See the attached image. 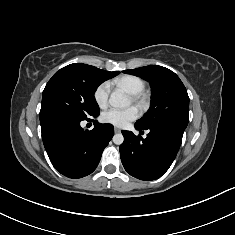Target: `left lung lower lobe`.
Wrapping results in <instances>:
<instances>
[{"label":"left lung lower lobe","instance_id":"obj_1","mask_svg":"<svg viewBox=\"0 0 235 235\" xmlns=\"http://www.w3.org/2000/svg\"><path fill=\"white\" fill-rule=\"evenodd\" d=\"M135 128L149 130L143 139L130 131H122L124 142L120 146V156L125 170L140 180H155L171 166L180 148L184 128L171 124H161L148 128L135 124Z\"/></svg>","mask_w":235,"mask_h":235}]
</instances>
